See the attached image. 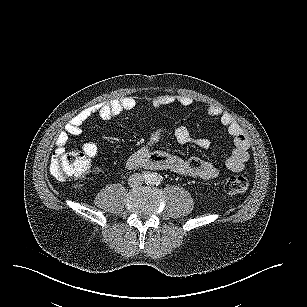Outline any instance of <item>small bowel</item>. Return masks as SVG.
Segmentation results:
<instances>
[{
  "label": "small bowel",
  "instance_id": "1",
  "mask_svg": "<svg viewBox=\"0 0 307 307\" xmlns=\"http://www.w3.org/2000/svg\"><path fill=\"white\" fill-rule=\"evenodd\" d=\"M154 108L179 104L187 107L192 104V99L187 96L164 95L155 98L149 103H145ZM137 102L132 97H123L107 103H100L89 108H85L76 114L56 137L55 154L65 152L66 146L71 137L82 134L85 123L93 116L98 114L103 120H110L119 114L135 108ZM209 116L218 119L226 128L231 136L234 149L226 160V167L233 172H240L244 169L245 163L249 159L250 142L241 126L233 116L223 111L215 105L207 107ZM164 130L155 128L149 135L145 145L134 151L127 159L128 168L149 167L160 170H170L172 172L202 179H211L219 174V168L211 162L204 161L197 157L182 159L164 152L152 151L151 147L157 143L163 135ZM176 140L181 144H194L202 149H207L211 141L205 137H193L186 127H178L174 131ZM85 155L92 159L97 155L98 148L93 142L83 145Z\"/></svg>",
  "mask_w": 307,
  "mask_h": 307
}]
</instances>
